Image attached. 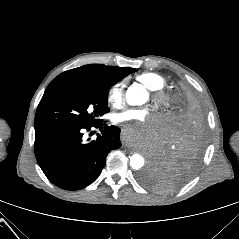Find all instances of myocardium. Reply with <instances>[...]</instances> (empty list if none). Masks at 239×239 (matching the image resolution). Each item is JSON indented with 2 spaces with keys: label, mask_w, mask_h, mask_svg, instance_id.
<instances>
[{
  "label": "myocardium",
  "mask_w": 239,
  "mask_h": 239,
  "mask_svg": "<svg viewBox=\"0 0 239 239\" xmlns=\"http://www.w3.org/2000/svg\"><path fill=\"white\" fill-rule=\"evenodd\" d=\"M152 100L156 107L166 112L173 104L172 97L163 90L154 91L152 93Z\"/></svg>",
  "instance_id": "1"
}]
</instances>
